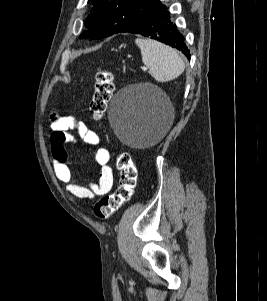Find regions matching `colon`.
Masks as SVG:
<instances>
[{
  "label": "colon",
  "mask_w": 267,
  "mask_h": 301,
  "mask_svg": "<svg viewBox=\"0 0 267 301\" xmlns=\"http://www.w3.org/2000/svg\"><path fill=\"white\" fill-rule=\"evenodd\" d=\"M114 91V76L105 69H100L96 74L94 94L90 103V112L95 120L101 119ZM120 172L119 186L110 195L104 196L94 206V213L99 219H108L123 204L128 202L134 192L137 182V169L127 153H121L116 161Z\"/></svg>",
  "instance_id": "5ec220e1"
}]
</instances>
